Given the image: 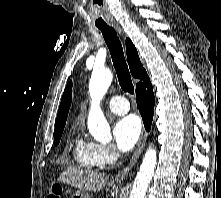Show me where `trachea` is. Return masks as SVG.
<instances>
[{"instance_id":"trachea-1","label":"trachea","mask_w":221,"mask_h":198,"mask_svg":"<svg viewBox=\"0 0 221 198\" xmlns=\"http://www.w3.org/2000/svg\"><path fill=\"white\" fill-rule=\"evenodd\" d=\"M99 29L101 30L104 40L109 48L121 88L125 92L134 94V86L117 33L112 27L109 26L99 27Z\"/></svg>"}]
</instances>
